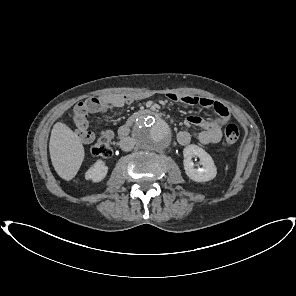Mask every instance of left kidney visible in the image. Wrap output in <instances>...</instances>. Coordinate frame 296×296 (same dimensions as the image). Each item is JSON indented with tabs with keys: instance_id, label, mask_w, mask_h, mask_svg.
I'll list each match as a JSON object with an SVG mask.
<instances>
[{
	"instance_id": "5707ae66",
	"label": "left kidney",
	"mask_w": 296,
	"mask_h": 296,
	"mask_svg": "<svg viewBox=\"0 0 296 296\" xmlns=\"http://www.w3.org/2000/svg\"><path fill=\"white\" fill-rule=\"evenodd\" d=\"M183 165L186 175L195 182H207L216 177L217 168L212 157L201 147L191 144L183 150ZM200 159L202 168H195L193 158Z\"/></svg>"
}]
</instances>
